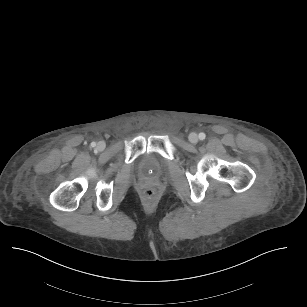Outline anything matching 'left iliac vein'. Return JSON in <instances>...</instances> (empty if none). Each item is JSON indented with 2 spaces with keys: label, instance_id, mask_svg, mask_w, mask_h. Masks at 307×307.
Returning a JSON list of instances; mask_svg holds the SVG:
<instances>
[{
  "label": "left iliac vein",
  "instance_id": "obj_1",
  "mask_svg": "<svg viewBox=\"0 0 307 307\" xmlns=\"http://www.w3.org/2000/svg\"><path fill=\"white\" fill-rule=\"evenodd\" d=\"M189 141L193 144H196L198 142V136L196 133H191L189 135Z\"/></svg>",
  "mask_w": 307,
  "mask_h": 307
}]
</instances>
